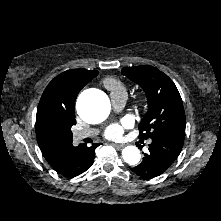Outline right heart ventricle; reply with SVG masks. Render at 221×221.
I'll use <instances>...</instances> for the list:
<instances>
[{"label": "right heart ventricle", "mask_w": 221, "mask_h": 221, "mask_svg": "<svg viewBox=\"0 0 221 221\" xmlns=\"http://www.w3.org/2000/svg\"><path fill=\"white\" fill-rule=\"evenodd\" d=\"M103 83L105 87L109 89L112 93H126V86L116 78H106Z\"/></svg>", "instance_id": "right-heart-ventricle-1"}]
</instances>
